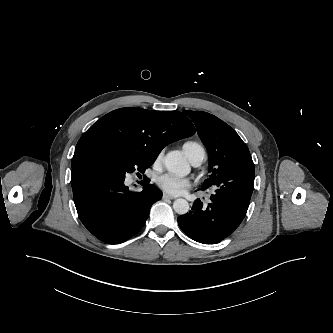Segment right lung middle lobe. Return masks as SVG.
Here are the masks:
<instances>
[{
	"mask_svg": "<svg viewBox=\"0 0 333 333\" xmlns=\"http://www.w3.org/2000/svg\"><path fill=\"white\" fill-rule=\"evenodd\" d=\"M155 159L154 155L104 145L89 147L80 157V161L99 167L120 179H124L126 173H144Z\"/></svg>",
	"mask_w": 333,
	"mask_h": 333,
	"instance_id": "right-lung-middle-lobe-1",
	"label": "right lung middle lobe"
}]
</instances>
